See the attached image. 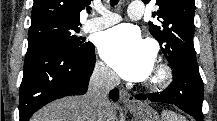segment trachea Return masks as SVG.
<instances>
[{
    "mask_svg": "<svg viewBox=\"0 0 217 121\" xmlns=\"http://www.w3.org/2000/svg\"><path fill=\"white\" fill-rule=\"evenodd\" d=\"M118 2H119V0H110V5H111V7L117 5Z\"/></svg>",
    "mask_w": 217,
    "mask_h": 121,
    "instance_id": "trachea-1",
    "label": "trachea"
}]
</instances>
